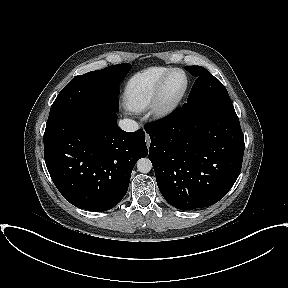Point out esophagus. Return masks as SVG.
<instances>
[{
	"mask_svg": "<svg viewBox=\"0 0 288 288\" xmlns=\"http://www.w3.org/2000/svg\"><path fill=\"white\" fill-rule=\"evenodd\" d=\"M145 141H146L147 147H149L150 143H151V139H150V136L148 134H146V136H145Z\"/></svg>",
	"mask_w": 288,
	"mask_h": 288,
	"instance_id": "esophagus-1",
	"label": "esophagus"
}]
</instances>
